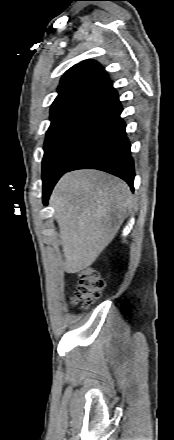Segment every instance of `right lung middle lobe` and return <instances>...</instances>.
<instances>
[{"label":"right lung middle lobe","mask_w":174,"mask_h":440,"mask_svg":"<svg viewBox=\"0 0 174 440\" xmlns=\"http://www.w3.org/2000/svg\"><path fill=\"white\" fill-rule=\"evenodd\" d=\"M98 107V97H92L50 115L42 162L44 186L56 183L81 152Z\"/></svg>","instance_id":"right-lung-middle-lobe-1"}]
</instances>
